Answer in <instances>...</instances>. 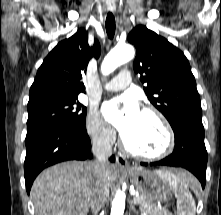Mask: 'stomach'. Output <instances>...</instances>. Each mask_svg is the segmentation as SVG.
Listing matches in <instances>:
<instances>
[{"label": "stomach", "instance_id": "1", "mask_svg": "<svg viewBox=\"0 0 221 215\" xmlns=\"http://www.w3.org/2000/svg\"><path fill=\"white\" fill-rule=\"evenodd\" d=\"M129 176L137 191L148 201L166 202L170 199V187L157 172L135 168Z\"/></svg>", "mask_w": 221, "mask_h": 215}]
</instances>
